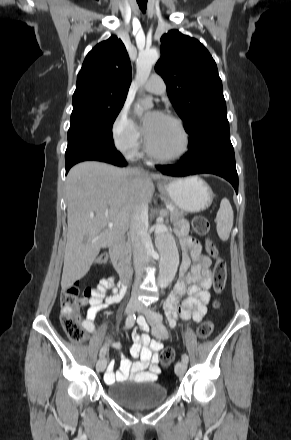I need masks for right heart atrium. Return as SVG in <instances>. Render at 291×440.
Here are the masks:
<instances>
[{
    "mask_svg": "<svg viewBox=\"0 0 291 440\" xmlns=\"http://www.w3.org/2000/svg\"><path fill=\"white\" fill-rule=\"evenodd\" d=\"M113 142L117 150L127 157L135 156L141 143V134L134 119L129 114V108L124 105L112 127Z\"/></svg>",
    "mask_w": 291,
    "mask_h": 440,
    "instance_id": "obj_1",
    "label": "right heart atrium"
}]
</instances>
